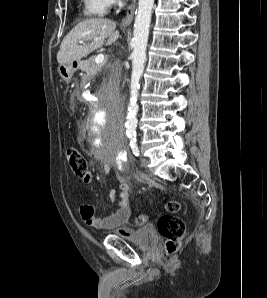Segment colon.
Instances as JSON below:
<instances>
[{
	"label": "colon",
	"mask_w": 267,
	"mask_h": 298,
	"mask_svg": "<svg viewBox=\"0 0 267 298\" xmlns=\"http://www.w3.org/2000/svg\"><path fill=\"white\" fill-rule=\"evenodd\" d=\"M66 159L76 176L85 180L89 176L88 162L81 151L75 147H69L66 151ZM167 211L158 220V230L165 239V248L168 254L175 253L181 246L185 234V223L176 214L180 210V204L176 200L168 201L165 205ZM149 220L148 215H141L136 219L137 225H144Z\"/></svg>",
	"instance_id": "1"
}]
</instances>
